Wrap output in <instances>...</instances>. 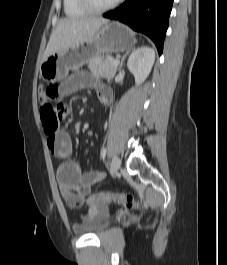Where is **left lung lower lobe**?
I'll use <instances>...</instances> for the list:
<instances>
[{
	"instance_id": "left-lung-lower-lobe-1",
	"label": "left lung lower lobe",
	"mask_w": 227,
	"mask_h": 265,
	"mask_svg": "<svg viewBox=\"0 0 227 265\" xmlns=\"http://www.w3.org/2000/svg\"><path fill=\"white\" fill-rule=\"evenodd\" d=\"M172 4L173 0H126L120 7L103 16L119 20L146 34L161 55Z\"/></svg>"
}]
</instances>
